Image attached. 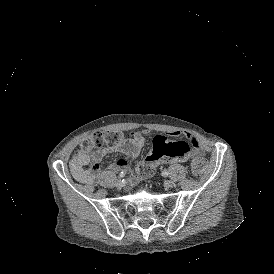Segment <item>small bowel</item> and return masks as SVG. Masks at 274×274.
<instances>
[{
  "mask_svg": "<svg viewBox=\"0 0 274 274\" xmlns=\"http://www.w3.org/2000/svg\"><path fill=\"white\" fill-rule=\"evenodd\" d=\"M149 134L148 130H141L131 133L130 138H122L116 144H105L101 148L97 149L92 154L78 152L76 150L73 153L71 161V171L75 179L82 183H92L96 176L99 174L100 167L99 162L108 154L113 152H123L128 154L132 159H137L144 144L145 137ZM176 135H184L189 141L192 150L198 151L201 157L204 155V149L200 140L192 133L188 132H176ZM152 144L147 152V159L150 162V174L146 177H137L130 182V186L136 183L137 179H144L152 175V171L157 167L154 162L159 161L161 164H186L189 161L190 150L186 146L183 140H175L174 138H168L165 133H155L152 136ZM166 149V151L164 150ZM129 167L127 159H118L110 166L113 171L126 170Z\"/></svg>",
  "mask_w": 274,
  "mask_h": 274,
  "instance_id": "c3829d8e",
  "label": "small bowel"
}]
</instances>
